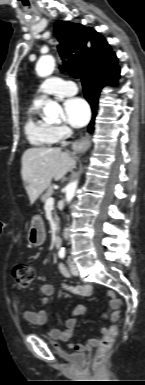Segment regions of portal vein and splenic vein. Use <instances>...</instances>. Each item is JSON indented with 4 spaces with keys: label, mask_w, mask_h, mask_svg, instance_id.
I'll return each mask as SVG.
<instances>
[{
    "label": "portal vein and splenic vein",
    "mask_w": 145,
    "mask_h": 385,
    "mask_svg": "<svg viewBox=\"0 0 145 385\" xmlns=\"http://www.w3.org/2000/svg\"><path fill=\"white\" fill-rule=\"evenodd\" d=\"M54 205V198L50 197L47 199L46 203H45V208H52Z\"/></svg>",
    "instance_id": "obj_1"
}]
</instances>
